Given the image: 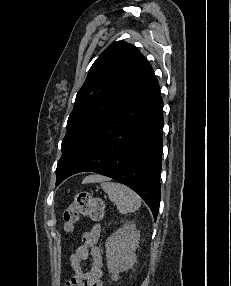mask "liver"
<instances>
[{
	"mask_svg": "<svg viewBox=\"0 0 231 286\" xmlns=\"http://www.w3.org/2000/svg\"><path fill=\"white\" fill-rule=\"evenodd\" d=\"M103 177L101 176H97V175H92V176H88L83 180V183H90V182H94V181H100L102 180Z\"/></svg>",
	"mask_w": 231,
	"mask_h": 286,
	"instance_id": "obj_1",
	"label": "liver"
}]
</instances>
